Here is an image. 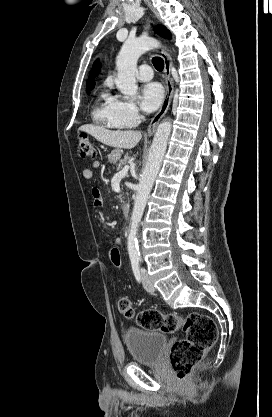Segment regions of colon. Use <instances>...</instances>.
<instances>
[{
	"label": "colon",
	"mask_w": 272,
	"mask_h": 417,
	"mask_svg": "<svg viewBox=\"0 0 272 417\" xmlns=\"http://www.w3.org/2000/svg\"><path fill=\"white\" fill-rule=\"evenodd\" d=\"M77 151L81 158L95 159L98 149L86 136L78 138ZM112 265L120 270L122 256L119 245H112L109 250ZM119 312L127 319L135 317L137 324L147 330H160L165 333L183 331L185 338L176 341L169 353V360L177 379H185L199 364L206 352L216 342L218 328L215 321L204 314L191 313L181 316L174 313L163 314L154 309H147L135 315L132 302L127 297L118 301Z\"/></svg>",
	"instance_id": "obj_1"
}]
</instances>
